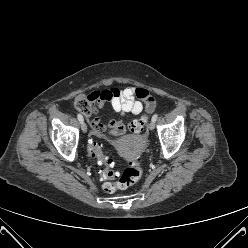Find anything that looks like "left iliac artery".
I'll list each match as a JSON object with an SVG mask.
<instances>
[{"label": "left iliac artery", "mask_w": 248, "mask_h": 248, "mask_svg": "<svg viewBox=\"0 0 248 248\" xmlns=\"http://www.w3.org/2000/svg\"><path fill=\"white\" fill-rule=\"evenodd\" d=\"M157 118H158V114H154L153 116H152V121H156L157 120Z\"/></svg>", "instance_id": "44dca946"}]
</instances>
